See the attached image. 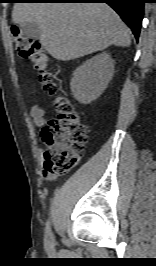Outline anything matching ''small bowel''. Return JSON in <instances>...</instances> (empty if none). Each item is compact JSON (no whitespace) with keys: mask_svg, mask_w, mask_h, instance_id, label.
<instances>
[{"mask_svg":"<svg viewBox=\"0 0 156 266\" xmlns=\"http://www.w3.org/2000/svg\"><path fill=\"white\" fill-rule=\"evenodd\" d=\"M33 122L36 126L41 127L43 126L47 119H46V109L44 107H40L38 105L32 106L30 110ZM42 155V150L38 149V156ZM43 177L47 180H54L55 176L52 174L47 173L46 171H43Z\"/></svg>","mask_w":156,"mask_h":266,"instance_id":"1","label":"small bowel"}]
</instances>
